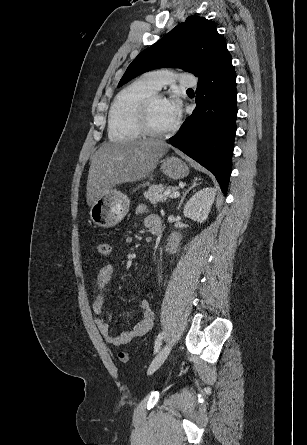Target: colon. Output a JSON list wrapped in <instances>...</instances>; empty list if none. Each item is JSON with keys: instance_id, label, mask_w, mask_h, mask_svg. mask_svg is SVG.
<instances>
[{"instance_id": "5ec220e1", "label": "colon", "mask_w": 307, "mask_h": 445, "mask_svg": "<svg viewBox=\"0 0 307 445\" xmlns=\"http://www.w3.org/2000/svg\"><path fill=\"white\" fill-rule=\"evenodd\" d=\"M96 248H97L98 253L103 257L109 256V254L111 252V247H110L109 243H107L105 241H98L96 243ZM119 358H120L121 362H123V363L130 362V355L126 352H121L119 354Z\"/></svg>"}]
</instances>
